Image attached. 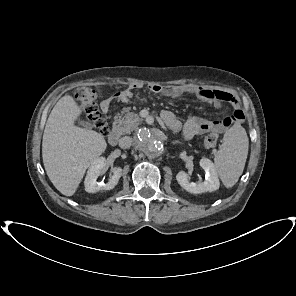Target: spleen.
<instances>
[{"instance_id":"spleen-1","label":"spleen","mask_w":296,"mask_h":296,"mask_svg":"<svg viewBox=\"0 0 296 296\" xmlns=\"http://www.w3.org/2000/svg\"><path fill=\"white\" fill-rule=\"evenodd\" d=\"M248 147L249 141L245 129L235 123L224 134L222 146L214 157L216 170L225 187L234 186L242 175Z\"/></svg>"}]
</instances>
